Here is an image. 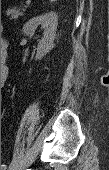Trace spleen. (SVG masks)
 <instances>
[{
    "mask_svg": "<svg viewBox=\"0 0 109 170\" xmlns=\"http://www.w3.org/2000/svg\"><path fill=\"white\" fill-rule=\"evenodd\" d=\"M51 2H55V1H57V0H50Z\"/></svg>",
    "mask_w": 109,
    "mask_h": 170,
    "instance_id": "spleen-1",
    "label": "spleen"
}]
</instances>
